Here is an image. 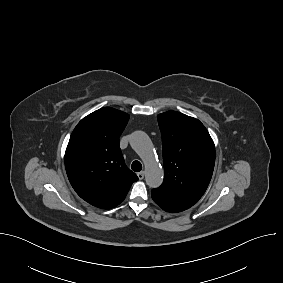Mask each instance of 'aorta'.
<instances>
[{"label": "aorta", "instance_id": "aorta-1", "mask_svg": "<svg viewBox=\"0 0 283 283\" xmlns=\"http://www.w3.org/2000/svg\"><path fill=\"white\" fill-rule=\"evenodd\" d=\"M131 147L141 156L145 164V180L150 188H157L163 182L164 172L155 160L153 145L148 135L135 131L130 139Z\"/></svg>", "mask_w": 283, "mask_h": 283}]
</instances>
